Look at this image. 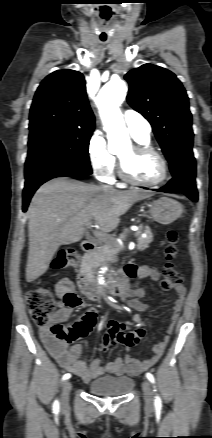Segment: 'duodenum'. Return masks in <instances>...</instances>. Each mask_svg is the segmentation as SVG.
Masks as SVG:
<instances>
[{
	"label": "duodenum",
	"instance_id": "1",
	"mask_svg": "<svg viewBox=\"0 0 212 438\" xmlns=\"http://www.w3.org/2000/svg\"><path fill=\"white\" fill-rule=\"evenodd\" d=\"M81 248L87 255L93 253L94 243L91 240H84ZM77 287L79 291L92 301H102L110 296L118 295L122 287L121 277L114 279L108 288L97 286L90 278L89 268L83 266L78 273Z\"/></svg>",
	"mask_w": 212,
	"mask_h": 438
}]
</instances>
